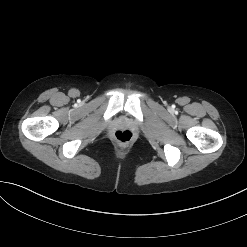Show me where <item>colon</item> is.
I'll return each instance as SVG.
<instances>
[{
    "instance_id": "colon-1",
    "label": "colon",
    "mask_w": 247,
    "mask_h": 247,
    "mask_svg": "<svg viewBox=\"0 0 247 247\" xmlns=\"http://www.w3.org/2000/svg\"><path fill=\"white\" fill-rule=\"evenodd\" d=\"M115 138L120 143H128L133 138V133L130 130L122 129L115 132Z\"/></svg>"
}]
</instances>
